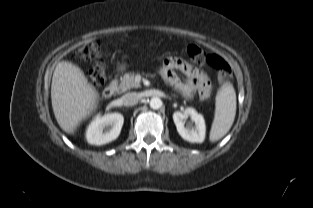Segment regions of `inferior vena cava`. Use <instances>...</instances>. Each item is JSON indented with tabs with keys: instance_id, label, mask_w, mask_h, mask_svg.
I'll list each match as a JSON object with an SVG mask.
<instances>
[{
	"instance_id": "obj_1",
	"label": "inferior vena cava",
	"mask_w": 313,
	"mask_h": 208,
	"mask_svg": "<svg viewBox=\"0 0 313 208\" xmlns=\"http://www.w3.org/2000/svg\"><path fill=\"white\" fill-rule=\"evenodd\" d=\"M140 97L137 93H126L122 96L121 100L125 106H133L138 103Z\"/></svg>"
}]
</instances>
